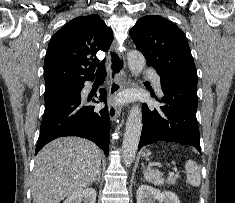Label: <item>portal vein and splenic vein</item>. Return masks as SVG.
Returning a JSON list of instances; mask_svg holds the SVG:
<instances>
[{
  "label": "portal vein and splenic vein",
  "instance_id": "18ae733b",
  "mask_svg": "<svg viewBox=\"0 0 235 203\" xmlns=\"http://www.w3.org/2000/svg\"><path fill=\"white\" fill-rule=\"evenodd\" d=\"M174 176V172H169V177Z\"/></svg>",
  "mask_w": 235,
  "mask_h": 203
}]
</instances>
